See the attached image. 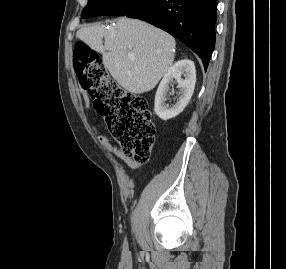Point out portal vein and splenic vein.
<instances>
[{
  "label": "portal vein and splenic vein",
  "mask_w": 286,
  "mask_h": 269,
  "mask_svg": "<svg viewBox=\"0 0 286 269\" xmlns=\"http://www.w3.org/2000/svg\"><path fill=\"white\" fill-rule=\"evenodd\" d=\"M128 58H129L131 61H134V59H135L133 55H129Z\"/></svg>",
  "instance_id": "18ae733b"
}]
</instances>
